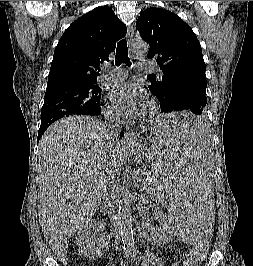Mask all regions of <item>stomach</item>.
Segmentation results:
<instances>
[{"label":"stomach","instance_id":"stomach-1","mask_svg":"<svg viewBox=\"0 0 253 266\" xmlns=\"http://www.w3.org/2000/svg\"><path fill=\"white\" fill-rule=\"evenodd\" d=\"M157 136L156 134L151 138L150 143H144L142 141H137L129 146V151L134 153L139 159L142 160H153L152 159V150H154V146L157 144Z\"/></svg>","mask_w":253,"mask_h":266}]
</instances>
